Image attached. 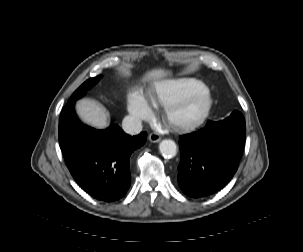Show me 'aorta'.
I'll list each match as a JSON object with an SVG mask.
<instances>
[{
	"mask_svg": "<svg viewBox=\"0 0 303 252\" xmlns=\"http://www.w3.org/2000/svg\"><path fill=\"white\" fill-rule=\"evenodd\" d=\"M159 151L164 157L172 158L177 154V145L173 140L165 139L160 142Z\"/></svg>",
	"mask_w": 303,
	"mask_h": 252,
	"instance_id": "obj_1",
	"label": "aorta"
}]
</instances>
